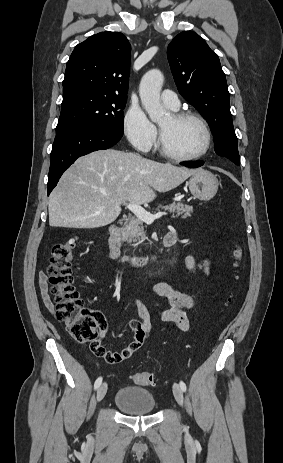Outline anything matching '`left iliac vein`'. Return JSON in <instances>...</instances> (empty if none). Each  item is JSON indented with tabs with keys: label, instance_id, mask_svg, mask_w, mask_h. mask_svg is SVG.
<instances>
[{
	"label": "left iliac vein",
	"instance_id": "4c4485c4",
	"mask_svg": "<svg viewBox=\"0 0 283 463\" xmlns=\"http://www.w3.org/2000/svg\"><path fill=\"white\" fill-rule=\"evenodd\" d=\"M173 394L178 404L182 406L184 401L183 392L180 385L177 383L173 384Z\"/></svg>",
	"mask_w": 283,
	"mask_h": 463
}]
</instances>
